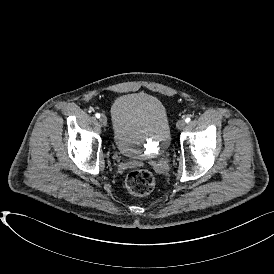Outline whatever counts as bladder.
Returning a JSON list of instances; mask_svg holds the SVG:
<instances>
[{
	"label": "bladder",
	"instance_id": "1",
	"mask_svg": "<svg viewBox=\"0 0 274 274\" xmlns=\"http://www.w3.org/2000/svg\"><path fill=\"white\" fill-rule=\"evenodd\" d=\"M113 143L130 159L155 158L164 153L171 141L166 109L155 96L128 93L119 96L111 109Z\"/></svg>",
	"mask_w": 274,
	"mask_h": 274
}]
</instances>
